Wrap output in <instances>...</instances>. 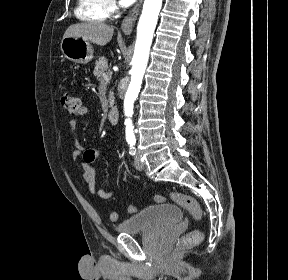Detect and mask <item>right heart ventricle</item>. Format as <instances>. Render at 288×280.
Instances as JSON below:
<instances>
[{"label": "right heart ventricle", "mask_w": 288, "mask_h": 280, "mask_svg": "<svg viewBox=\"0 0 288 280\" xmlns=\"http://www.w3.org/2000/svg\"><path fill=\"white\" fill-rule=\"evenodd\" d=\"M75 15L87 22H102L109 16L106 0H77Z\"/></svg>", "instance_id": "1"}]
</instances>
